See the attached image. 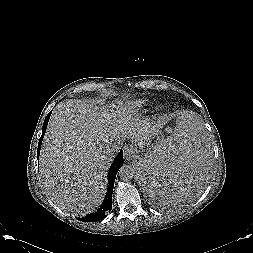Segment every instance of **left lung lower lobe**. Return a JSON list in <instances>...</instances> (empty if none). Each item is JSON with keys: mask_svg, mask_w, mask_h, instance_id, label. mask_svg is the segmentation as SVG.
<instances>
[{"mask_svg": "<svg viewBox=\"0 0 253 253\" xmlns=\"http://www.w3.org/2000/svg\"><path fill=\"white\" fill-rule=\"evenodd\" d=\"M196 165H191L189 170L185 173L186 176H189L190 172L194 173ZM184 175L181 174L179 179L182 180ZM146 181L148 182L149 190L153 194H157L159 197H169L172 194L173 185L175 186V181L173 177L168 175L164 171L157 166H152L145 174Z\"/></svg>", "mask_w": 253, "mask_h": 253, "instance_id": "0a47b994", "label": "left lung lower lobe"}]
</instances>
